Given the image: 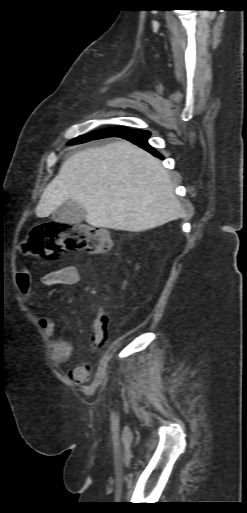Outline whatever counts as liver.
I'll return each mask as SVG.
<instances>
[{
    "mask_svg": "<svg viewBox=\"0 0 247 513\" xmlns=\"http://www.w3.org/2000/svg\"><path fill=\"white\" fill-rule=\"evenodd\" d=\"M71 200L94 227L140 232L181 218L170 175L147 151L118 140L77 152L61 166L36 207L48 217Z\"/></svg>",
    "mask_w": 247,
    "mask_h": 513,
    "instance_id": "1",
    "label": "liver"
}]
</instances>
